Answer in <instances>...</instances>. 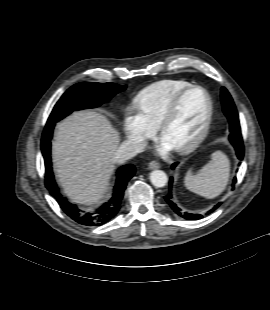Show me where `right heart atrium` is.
Here are the masks:
<instances>
[{"mask_svg": "<svg viewBox=\"0 0 270 310\" xmlns=\"http://www.w3.org/2000/svg\"><path fill=\"white\" fill-rule=\"evenodd\" d=\"M123 126L128 139L136 143L144 142L156 131V127L149 122L140 107L135 103L126 107Z\"/></svg>", "mask_w": 270, "mask_h": 310, "instance_id": "d8ad5b80", "label": "right heart atrium"}]
</instances>
